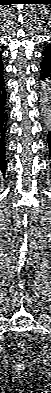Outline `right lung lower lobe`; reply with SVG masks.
I'll return each mask as SVG.
<instances>
[{
  "instance_id": "1",
  "label": "right lung lower lobe",
  "mask_w": 51,
  "mask_h": 393,
  "mask_svg": "<svg viewBox=\"0 0 51 393\" xmlns=\"http://www.w3.org/2000/svg\"><path fill=\"white\" fill-rule=\"evenodd\" d=\"M6 98L7 97L5 93V82H4L3 75L0 72V171L3 174H5V169H6L5 137L7 132V120H8Z\"/></svg>"
}]
</instances>
